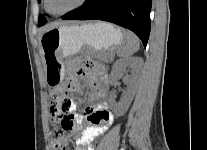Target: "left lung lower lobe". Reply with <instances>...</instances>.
<instances>
[{
	"label": "left lung lower lobe",
	"mask_w": 207,
	"mask_h": 150,
	"mask_svg": "<svg viewBox=\"0 0 207 150\" xmlns=\"http://www.w3.org/2000/svg\"><path fill=\"white\" fill-rule=\"evenodd\" d=\"M151 0H87L63 19L103 20L133 31L146 46L150 33Z\"/></svg>",
	"instance_id": "left-lung-lower-lobe-1"
}]
</instances>
